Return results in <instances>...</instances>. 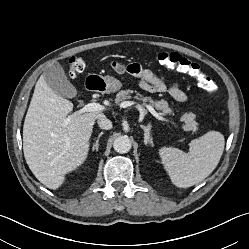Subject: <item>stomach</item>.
Listing matches in <instances>:
<instances>
[{
  "label": "stomach",
  "instance_id": "obj_1",
  "mask_svg": "<svg viewBox=\"0 0 249 249\" xmlns=\"http://www.w3.org/2000/svg\"><path fill=\"white\" fill-rule=\"evenodd\" d=\"M92 78H98L99 80V90L102 93H112L120 90L122 88V83L114 78L113 76H90Z\"/></svg>",
  "mask_w": 249,
  "mask_h": 249
}]
</instances>
